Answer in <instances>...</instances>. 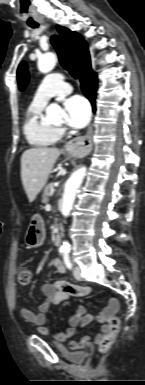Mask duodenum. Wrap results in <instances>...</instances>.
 I'll return each mask as SVG.
<instances>
[{"label": "duodenum", "instance_id": "410a0bca", "mask_svg": "<svg viewBox=\"0 0 145 385\" xmlns=\"http://www.w3.org/2000/svg\"><path fill=\"white\" fill-rule=\"evenodd\" d=\"M54 243L57 246L60 245V243H61V236H60L59 233L55 234V236H54Z\"/></svg>", "mask_w": 145, "mask_h": 385}]
</instances>
